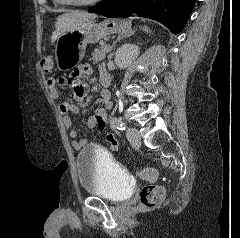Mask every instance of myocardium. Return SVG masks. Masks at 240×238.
Returning <instances> with one entry per match:
<instances>
[{
    "label": "myocardium",
    "instance_id": "f54148a6",
    "mask_svg": "<svg viewBox=\"0 0 240 238\" xmlns=\"http://www.w3.org/2000/svg\"><path fill=\"white\" fill-rule=\"evenodd\" d=\"M63 4L73 6H91L100 3L102 0H87V1H72V0H60Z\"/></svg>",
    "mask_w": 240,
    "mask_h": 238
}]
</instances>
